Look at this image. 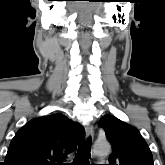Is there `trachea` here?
<instances>
[{"label": "trachea", "instance_id": "1", "mask_svg": "<svg viewBox=\"0 0 165 165\" xmlns=\"http://www.w3.org/2000/svg\"><path fill=\"white\" fill-rule=\"evenodd\" d=\"M90 151H91V137H89L86 141L79 144L75 159L73 163H69V164L87 165L88 158L90 157Z\"/></svg>", "mask_w": 165, "mask_h": 165}]
</instances>
